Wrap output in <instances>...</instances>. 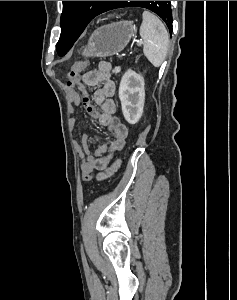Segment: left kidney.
I'll use <instances>...</instances> for the list:
<instances>
[{
    "mask_svg": "<svg viewBox=\"0 0 237 300\" xmlns=\"http://www.w3.org/2000/svg\"><path fill=\"white\" fill-rule=\"evenodd\" d=\"M144 85L142 75L131 69H128L121 79L118 95L123 117L130 125H136L142 117L145 103Z\"/></svg>",
    "mask_w": 237,
    "mask_h": 300,
    "instance_id": "5707ae66",
    "label": "left kidney"
}]
</instances>
